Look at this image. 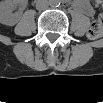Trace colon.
Wrapping results in <instances>:
<instances>
[{
  "mask_svg": "<svg viewBox=\"0 0 103 103\" xmlns=\"http://www.w3.org/2000/svg\"><path fill=\"white\" fill-rule=\"evenodd\" d=\"M97 7L101 6L100 2L96 3ZM103 34V15H100L96 20H94L88 30L87 37L90 40L99 39Z\"/></svg>",
  "mask_w": 103,
  "mask_h": 103,
  "instance_id": "1",
  "label": "colon"
}]
</instances>
